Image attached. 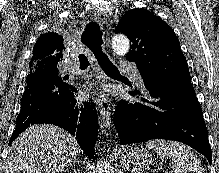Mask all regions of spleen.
<instances>
[{
  "instance_id": "spleen-1",
  "label": "spleen",
  "mask_w": 219,
  "mask_h": 173,
  "mask_svg": "<svg viewBox=\"0 0 219 173\" xmlns=\"http://www.w3.org/2000/svg\"><path fill=\"white\" fill-rule=\"evenodd\" d=\"M148 149L154 150L162 160H168L174 173H205V169L185 145L176 141L153 139L146 142Z\"/></svg>"
}]
</instances>
